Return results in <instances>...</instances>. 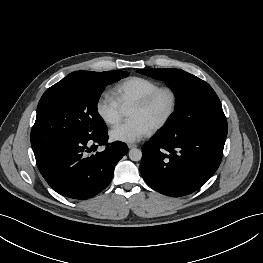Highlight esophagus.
Returning a JSON list of instances; mask_svg holds the SVG:
<instances>
[{"mask_svg":"<svg viewBox=\"0 0 263 263\" xmlns=\"http://www.w3.org/2000/svg\"><path fill=\"white\" fill-rule=\"evenodd\" d=\"M136 147H137L136 144H132V143L128 144V148L129 149L136 148Z\"/></svg>","mask_w":263,"mask_h":263,"instance_id":"obj_1","label":"esophagus"}]
</instances>
